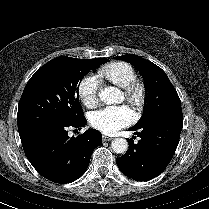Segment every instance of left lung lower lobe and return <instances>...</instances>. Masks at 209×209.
<instances>
[{
  "label": "left lung lower lobe",
  "mask_w": 209,
  "mask_h": 209,
  "mask_svg": "<svg viewBox=\"0 0 209 209\" xmlns=\"http://www.w3.org/2000/svg\"><path fill=\"white\" fill-rule=\"evenodd\" d=\"M183 119H159L131 127L141 139L137 144L129 139V149L117 158L119 169L129 178L148 181L160 175L171 161L179 143Z\"/></svg>",
  "instance_id": "obj_1"
}]
</instances>
